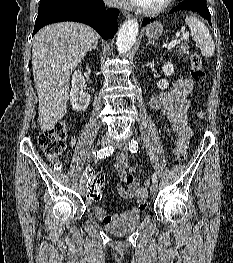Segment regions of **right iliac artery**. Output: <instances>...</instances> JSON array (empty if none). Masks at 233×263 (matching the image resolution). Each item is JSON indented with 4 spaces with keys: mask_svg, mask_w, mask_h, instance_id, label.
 <instances>
[{
    "mask_svg": "<svg viewBox=\"0 0 233 263\" xmlns=\"http://www.w3.org/2000/svg\"><path fill=\"white\" fill-rule=\"evenodd\" d=\"M113 152H114V148L112 146L104 147L95 153V157L97 159H101V158L112 155ZM84 182H85L84 178L81 177L80 184H84Z\"/></svg>",
    "mask_w": 233,
    "mask_h": 263,
    "instance_id": "right-iliac-artery-1",
    "label": "right iliac artery"
}]
</instances>
